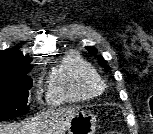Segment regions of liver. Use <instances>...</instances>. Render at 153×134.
Here are the masks:
<instances>
[{"label":"liver","mask_w":153,"mask_h":134,"mask_svg":"<svg viewBox=\"0 0 153 134\" xmlns=\"http://www.w3.org/2000/svg\"><path fill=\"white\" fill-rule=\"evenodd\" d=\"M76 111V108L59 109L45 113L31 122L0 124V134H42L43 132L64 134Z\"/></svg>","instance_id":"obj_1"}]
</instances>
